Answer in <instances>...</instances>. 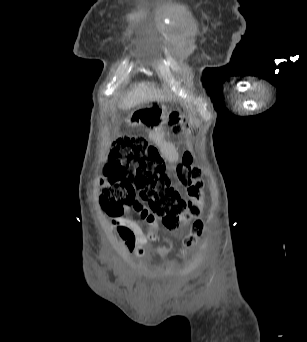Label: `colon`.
Wrapping results in <instances>:
<instances>
[{
	"instance_id": "obj_1",
	"label": "colon",
	"mask_w": 307,
	"mask_h": 342,
	"mask_svg": "<svg viewBox=\"0 0 307 342\" xmlns=\"http://www.w3.org/2000/svg\"><path fill=\"white\" fill-rule=\"evenodd\" d=\"M168 124L174 135H181L185 126L183 113L170 112ZM181 161L176 165V180L185 191L183 198L173 186L167 175L158 149L143 137L122 135L113 144L107 167L99 178L101 188L100 203L110 215L123 213L126 206L123 192L127 188L135 191L134 199L147 204L152 215L162 222L165 228L172 230L180 224L190 228L183 239L185 248L190 249L202 235L204 221L199 219L200 202L203 199L204 182L200 179L199 167L192 163L191 153L183 151ZM160 243L159 254H173L176 241L171 235L165 236Z\"/></svg>"
}]
</instances>
